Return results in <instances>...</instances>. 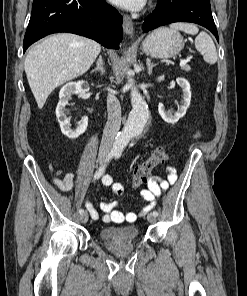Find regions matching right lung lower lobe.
I'll list each match as a JSON object with an SVG mask.
<instances>
[{
	"instance_id": "right-lung-lower-lobe-1",
	"label": "right lung lower lobe",
	"mask_w": 247,
	"mask_h": 296,
	"mask_svg": "<svg viewBox=\"0 0 247 296\" xmlns=\"http://www.w3.org/2000/svg\"><path fill=\"white\" fill-rule=\"evenodd\" d=\"M55 32L75 33L118 49L123 38L122 16L104 0H34L23 51Z\"/></svg>"
}]
</instances>
